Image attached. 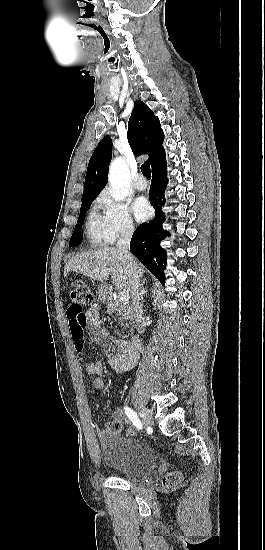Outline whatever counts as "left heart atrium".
Returning a JSON list of instances; mask_svg holds the SVG:
<instances>
[{
  "label": "left heart atrium",
  "mask_w": 265,
  "mask_h": 550,
  "mask_svg": "<svg viewBox=\"0 0 265 550\" xmlns=\"http://www.w3.org/2000/svg\"><path fill=\"white\" fill-rule=\"evenodd\" d=\"M133 213L138 221H144L151 213V208L147 200L143 197H139L133 203Z\"/></svg>",
  "instance_id": "left-heart-atrium-1"
}]
</instances>
